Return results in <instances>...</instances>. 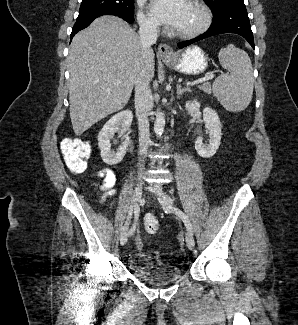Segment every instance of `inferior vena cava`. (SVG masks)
Masks as SVG:
<instances>
[{
    "instance_id": "602c4592",
    "label": "inferior vena cava",
    "mask_w": 298,
    "mask_h": 325,
    "mask_svg": "<svg viewBox=\"0 0 298 325\" xmlns=\"http://www.w3.org/2000/svg\"><path fill=\"white\" fill-rule=\"evenodd\" d=\"M139 36L142 44V58H147V50L151 48V44H156L157 36L159 34L158 26L141 18L139 20ZM146 72L143 66H140L139 76L135 82V110L138 118V138H139V167H142L141 163H144L146 158L147 148L150 142L149 132V114L154 106L153 94L149 82L145 80ZM144 173L143 169H139L138 177L142 179Z\"/></svg>"
}]
</instances>
